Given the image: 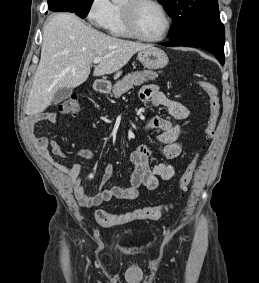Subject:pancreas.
<instances>
[{
	"label": "pancreas",
	"instance_id": "1",
	"mask_svg": "<svg viewBox=\"0 0 259 283\" xmlns=\"http://www.w3.org/2000/svg\"><path fill=\"white\" fill-rule=\"evenodd\" d=\"M157 77L158 74L156 72L149 70L129 73L116 82L112 93L115 98H119L121 95L133 88V86L141 85L148 80H155Z\"/></svg>",
	"mask_w": 259,
	"mask_h": 283
}]
</instances>
